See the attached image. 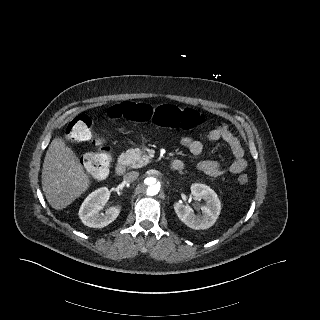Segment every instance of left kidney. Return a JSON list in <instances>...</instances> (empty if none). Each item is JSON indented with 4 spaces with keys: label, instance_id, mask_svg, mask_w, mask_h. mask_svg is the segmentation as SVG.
I'll return each mask as SVG.
<instances>
[{
    "label": "left kidney",
    "instance_id": "5707ae66",
    "mask_svg": "<svg viewBox=\"0 0 320 320\" xmlns=\"http://www.w3.org/2000/svg\"><path fill=\"white\" fill-rule=\"evenodd\" d=\"M191 192L198 201L204 200L201 207L202 215H196L194 210L182 202L174 204V210L178 218L188 227L195 230L208 229L214 225L221 211V202L217 194L207 185L192 184Z\"/></svg>",
    "mask_w": 320,
    "mask_h": 320
}]
</instances>
